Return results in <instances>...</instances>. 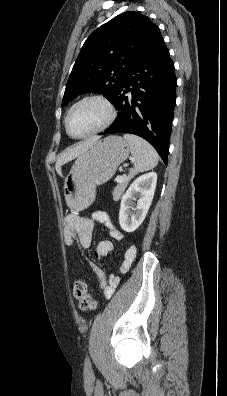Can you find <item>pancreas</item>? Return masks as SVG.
<instances>
[{
    "mask_svg": "<svg viewBox=\"0 0 227 396\" xmlns=\"http://www.w3.org/2000/svg\"><path fill=\"white\" fill-rule=\"evenodd\" d=\"M132 175L133 174H131V176H129V177L123 178L122 182H119L118 185L114 188V190L112 192V195H113V199L115 201H117V200H119L121 198V196L124 193L129 181L132 178Z\"/></svg>",
    "mask_w": 227,
    "mask_h": 396,
    "instance_id": "obj_1",
    "label": "pancreas"
}]
</instances>
